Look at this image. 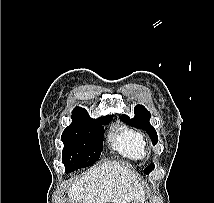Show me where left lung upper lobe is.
Returning a JSON list of instances; mask_svg holds the SVG:
<instances>
[{"label":"left lung upper lobe","mask_w":214,"mask_h":203,"mask_svg":"<svg viewBox=\"0 0 214 203\" xmlns=\"http://www.w3.org/2000/svg\"><path fill=\"white\" fill-rule=\"evenodd\" d=\"M135 117L130 119L128 116L123 115V118L132 126L143 129L147 132L149 137L152 140L153 144H156L158 141L157 133L154 127L149 123L150 112L142 105H137L134 109ZM154 169V164L150 165L144 170L146 174Z\"/></svg>","instance_id":"5c2ea615"}]
</instances>
